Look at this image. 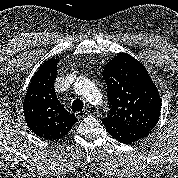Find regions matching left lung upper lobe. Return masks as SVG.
Listing matches in <instances>:
<instances>
[{
    "mask_svg": "<svg viewBox=\"0 0 178 178\" xmlns=\"http://www.w3.org/2000/svg\"><path fill=\"white\" fill-rule=\"evenodd\" d=\"M103 78L110 109L103 119L152 131L160 117L161 99L145 67L120 53L105 66Z\"/></svg>",
    "mask_w": 178,
    "mask_h": 178,
    "instance_id": "1",
    "label": "left lung upper lobe"
}]
</instances>
